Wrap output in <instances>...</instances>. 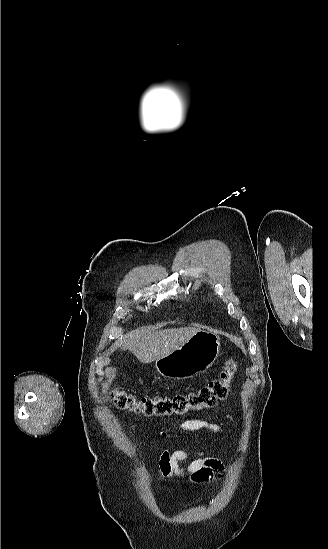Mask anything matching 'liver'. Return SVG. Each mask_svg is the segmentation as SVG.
Instances as JSON below:
<instances>
[{
  "instance_id": "liver-1",
  "label": "liver",
  "mask_w": 328,
  "mask_h": 549,
  "mask_svg": "<svg viewBox=\"0 0 328 549\" xmlns=\"http://www.w3.org/2000/svg\"><path fill=\"white\" fill-rule=\"evenodd\" d=\"M198 331L197 327H180L164 331H158V327H140L128 335L123 349L133 353L140 363H153L156 359L166 357L179 349Z\"/></svg>"
}]
</instances>
